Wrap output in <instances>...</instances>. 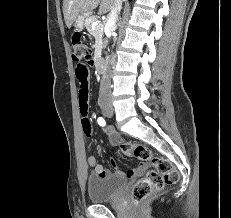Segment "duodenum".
Listing matches in <instances>:
<instances>
[{
    "label": "duodenum",
    "mask_w": 231,
    "mask_h": 218,
    "mask_svg": "<svg viewBox=\"0 0 231 218\" xmlns=\"http://www.w3.org/2000/svg\"><path fill=\"white\" fill-rule=\"evenodd\" d=\"M93 65H94V68L97 72H100L101 71V58H100V54H96L95 57H94V60H93Z\"/></svg>",
    "instance_id": "duodenum-1"
}]
</instances>
